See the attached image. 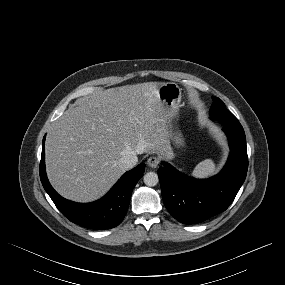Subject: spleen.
Segmentation results:
<instances>
[{
  "label": "spleen",
  "mask_w": 285,
  "mask_h": 285,
  "mask_svg": "<svg viewBox=\"0 0 285 285\" xmlns=\"http://www.w3.org/2000/svg\"><path fill=\"white\" fill-rule=\"evenodd\" d=\"M216 165L211 159L200 162L193 170L192 175L196 178H206L214 174Z\"/></svg>",
  "instance_id": "1"
}]
</instances>
